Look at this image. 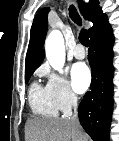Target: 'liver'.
<instances>
[{
  "label": "liver",
  "instance_id": "1",
  "mask_svg": "<svg viewBox=\"0 0 119 141\" xmlns=\"http://www.w3.org/2000/svg\"><path fill=\"white\" fill-rule=\"evenodd\" d=\"M27 141H88L81 127L67 118L32 117L26 122Z\"/></svg>",
  "mask_w": 119,
  "mask_h": 141
}]
</instances>
